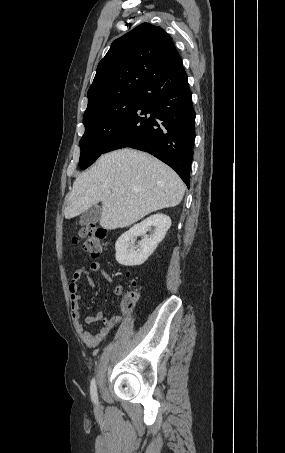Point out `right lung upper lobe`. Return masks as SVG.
<instances>
[{"mask_svg": "<svg viewBox=\"0 0 285 453\" xmlns=\"http://www.w3.org/2000/svg\"><path fill=\"white\" fill-rule=\"evenodd\" d=\"M182 63L171 39L161 27L142 23L116 39L97 66L88 90L90 110L132 92H141L154 78Z\"/></svg>", "mask_w": 285, "mask_h": 453, "instance_id": "right-lung-upper-lobe-1", "label": "right lung upper lobe"}]
</instances>
